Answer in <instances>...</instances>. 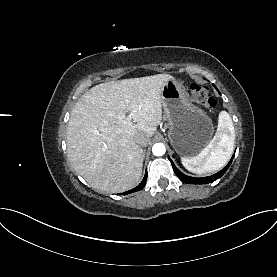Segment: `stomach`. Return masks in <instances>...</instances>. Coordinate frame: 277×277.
Returning a JSON list of instances; mask_svg holds the SVG:
<instances>
[{
  "instance_id": "stomach-1",
  "label": "stomach",
  "mask_w": 277,
  "mask_h": 277,
  "mask_svg": "<svg viewBox=\"0 0 277 277\" xmlns=\"http://www.w3.org/2000/svg\"><path fill=\"white\" fill-rule=\"evenodd\" d=\"M162 106L168 121V137L181 157L197 155L211 140L214 126L205 111L189 99L182 83L166 81L161 92Z\"/></svg>"
}]
</instances>
